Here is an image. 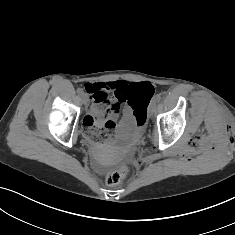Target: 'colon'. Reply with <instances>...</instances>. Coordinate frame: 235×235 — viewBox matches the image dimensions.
<instances>
[{"label":"colon","instance_id":"colon-1","mask_svg":"<svg viewBox=\"0 0 235 235\" xmlns=\"http://www.w3.org/2000/svg\"><path fill=\"white\" fill-rule=\"evenodd\" d=\"M153 91L154 90L151 84L142 82L137 84H130L120 95L121 100L125 101L134 110L136 124L140 128H143L147 123L148 114L145 101L150 99ZM97 99L98 101H101V103H107L104 95L102 94L97 95ZM108 118V112L106 109H104L96 115L87 118L88 126L96 127L98 130H100L101 126L108 122ZM88 132L92 135H95L89 129ZM95 136L99 137L100 139H106L109 137V134L98 132V134ZM127 171V167L122 166L108 173L106 176L107 185H118L125 178Z\"/></svg>","mask_w":235,"mask_h":235}]
</instances>
